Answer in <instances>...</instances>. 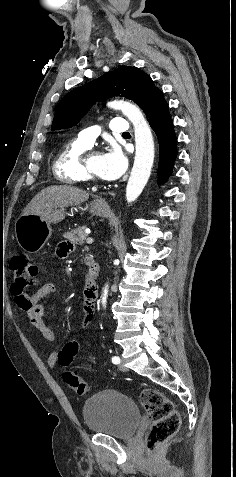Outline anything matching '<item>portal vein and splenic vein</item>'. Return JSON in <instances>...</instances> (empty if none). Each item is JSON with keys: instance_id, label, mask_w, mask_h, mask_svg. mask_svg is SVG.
Segmentation results:
<instances>
[{"instance_id": "portal-vein-and-splenic-vein-1", "label": "portal vein and splenic vein", "mask_w": 236, "mask_h": 477, "mask_svg": "<svg viewBox=\"0 0 236 477\" xmlns=\"http://www.w3.org/2000/svg\"><path fill=\"white\" fill-rule=\"evenodd\" d=\"M87 244H92L94 242V239L92 237H88L86 239Z\"/></svg>"}]
</instances>
